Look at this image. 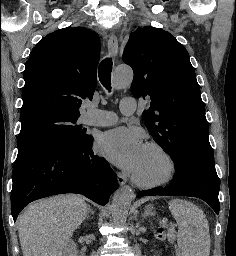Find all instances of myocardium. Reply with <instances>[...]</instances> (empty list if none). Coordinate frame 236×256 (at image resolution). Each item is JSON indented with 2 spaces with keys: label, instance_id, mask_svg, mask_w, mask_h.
Instances as JSON below:
<instances>
[{
  "label": "myocardium",
  "instance_id": "myocardium-1",
  "mask_svg": "<svg viewBox=\"0 0 236 256\" xmlns=\"http://www.w3.org/2000/svg\"><path fill=\"white\" fill-rule=\"evenodd\" d=\"M125 86H127V84H123V87ZM146 147L158 151L163 156L167 164V170L161 178L154 181L144 180L140 178L138 175H136L135 173H133L131 175V181L137 187H141L145 189H155V188L165 186L166 184L171 182L174 179L175 175L177 174L176 161L172 156V154L169 152V150L158 142L150 141L146 144Z\"/></svg>",
  "mask_w": 236,
  "mask_h": 256
}]
</instances>
